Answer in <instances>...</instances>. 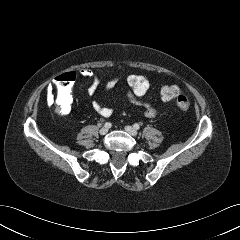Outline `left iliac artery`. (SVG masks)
I'll list each match as a JSON object with an SVG mask.
<instances>
[{
  "label": "left iliac artery",
  "mask_w": 240,
  "mask_h": 240,
  "mask_svg": "<svg viewBox=\"0 0 240 240\" xmlns=\"http://www.w3.org/2000/svg\"><path fill=\"white\" fill-rule=\"evenodd\" d=\"M133 127H134L136 130H138V129L140 128L139 124H137V123H135V124L133 125Z\"/></svg>",
  "instance_id": "44dca946"
}]
</instances>
